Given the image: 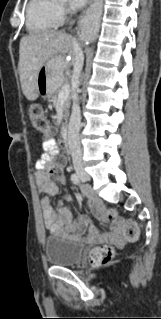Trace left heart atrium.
Wrapping results in <instances>:
<instances>
[{
  "label": "left heart atrium",
  "instance_id": "left-heart-atrium-1",
  "mask_svg": "<svg viewBox=\"0 0 161 319\" xmlns=\"http://www.w3.org/2000/svg\"><path fill=\"white\" fill-rule=\"evenodd\" d=\"M87 0H69V4L72 8H80L86 4Z\"/></svg>",
  "mask_w": 161,
  "mask_h": 319
}]
</instances>
